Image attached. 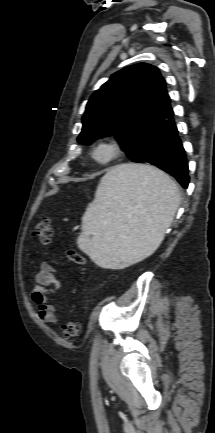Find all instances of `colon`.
Returning <instances> with one entry per match:
<instances>
[{"label": "colon", "mask_w": 215, "mask_h": 433, "mask_svg": "<svg viewBox=\"0 0 215 433\" xmlns=\"http://www.w3.org/2000/svg\"><path fill=\"white\" fill-rule=\"evenodd\" d=\"M33 234L37 237L40 244L43 247H48L52 242L53 229L51 226V221L49 218L44 217L34 228ZM68 259L78 265H83L85 263L84 257L74 249L67 252ZM80 324L78 322L69 321L66 322L62 331L66 338H74L78 336L80 332Z\"/></svg>", "instance_id": "1"}]
</instances>
